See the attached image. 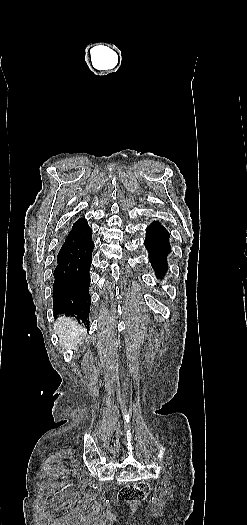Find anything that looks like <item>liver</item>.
<instances>
[{
	"label": "liver",
	"instance_id": "liver-1",
	"mask_svg": "<svg viewBox=\"0 0 247 525\" xmlns=\"http://www.w3.org/2000/svg\"><path fill=\"white\" fill-rule=\"evenodd\" d=\"M54 333L58 337L59 345L69 351V349H75L82 341L83 335H86V329L71 317H58L54 323Z\"/></svg>",
	"mask_w": 247,
	"mask_h": 525
}]
</instances>
